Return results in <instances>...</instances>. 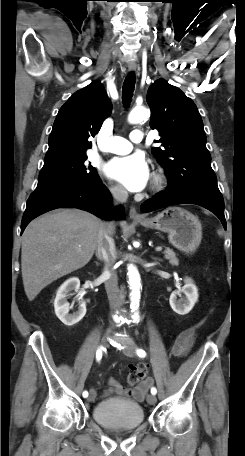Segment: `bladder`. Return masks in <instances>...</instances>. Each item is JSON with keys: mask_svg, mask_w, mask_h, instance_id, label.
<instances>
[{"mask_svg": "<svg viewBox=\"0 0 245 456\" xmlns=\"http://www.w3.org/2000/svg\"><path fill=\"white\" fill-rule=\"evenodd\" d=\"M92 415L99 425L113 430H133L144 421L140 404L123 398L100 401L93 408Z\"/></svg>", "mask_w": 245, "mask_h": 456, "instance_id": "bladder-1", "label": "bladder"}]
</instances>
